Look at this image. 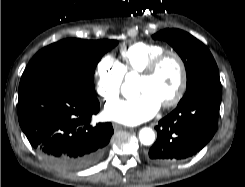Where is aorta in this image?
Returning <instances> with one entry per match:
<instances>
[{"mask_svg":"<svg viewBox=\"0 0 245 187\" xmlns=\"http://www.w3.org/2000/svg\"><path fill=\"white\" fill-rule=\"evenodd\" d=\"M122 95L128 100H135L139 96V90L135 81L127 76L121 88ZM139 140L144 145H151L155 141V134L151 128H142L139 132Z\"/></svg>","mask_w":245,"mask_h":187,"instance_id":"aorta-1","label":"aorta"}]
</instances>
